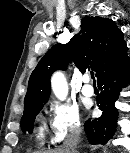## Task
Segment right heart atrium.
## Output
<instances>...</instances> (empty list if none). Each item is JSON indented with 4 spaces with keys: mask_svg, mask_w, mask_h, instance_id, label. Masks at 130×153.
I'll use <instances>...</instances> for the list:
<instances>
[{
    "mask_svg": "<svg viewBox=\"0 0 130 153\" xmlns=\"http://www.w3.org/2000/svg\"><path fill=\"white\" fill-rule=\"evenodd\" d=\"M50 111V131L53 144H60L80 131L81 119L77 107L56 101L51 104Z\"/></svg>",
    "mask_w": 130,
    "mask_h": 153,
    "instance_id": "right-heart-atrium-1",
    "label": "right heart atrium"
}]
</instances>
